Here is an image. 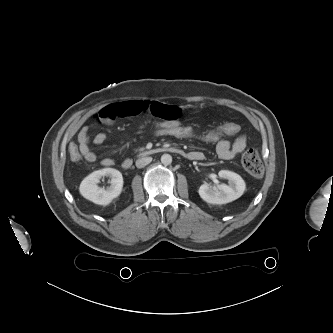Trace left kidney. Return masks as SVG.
<instances>
[{
	"label": "left kidney",
	"instance_id": "1",
	"mask_svg": "<svg viewBox=\"0 0 333 333\" xmlns=\"http://www.w3.org/2000/svg\"><path fill=\"white\" fill-rule=\"evenodd\" d=\"M220 178L228 180V184L210 186L203 184L199 187L200 197L210 204H226L241 197L245 191V182L237 173L221 170L218 173Z\"/></svg>",
	"mask_w": 333,
	"mask_h": 333
}]
</instances>
